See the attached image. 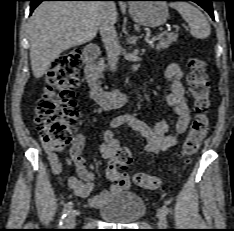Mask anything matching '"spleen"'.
<instances>
[{"mask_svg": "<svg viewBox=\"0 0 234 231\" xmlns=\"http://www.w3.org/2000/svg\"><path fill=\"white\" fill-rule=\"evenodd\" d=\"M190 27V34L197 39H205L211 33L210 25L203 13L188 2H171Z\"/></svg>", "mask_w": 234, "mask_h": 231, "instance_id": "obj_1", "label": "spleen"}]
</instances>
